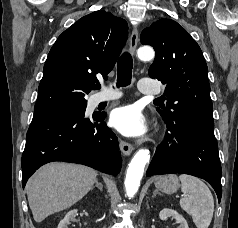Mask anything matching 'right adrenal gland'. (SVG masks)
<instances>
[{
	"label": "right adrenal gland",
	"instance_id": "1",
	"mask_svg": "<svg viewBox=\"0 0 238 228\" xmlns=\"http://www.w3.org/2000/svg\"><path fill=\"white\" fill-rule=\"evenodd\" d=\"M94 187H97L101 191L103 190V185L98 182V179H96ZM94 187H92V189H94Z\"/></svg>",
	"mask_w": 238,
	"mask_h": 228
}]
</instances>
